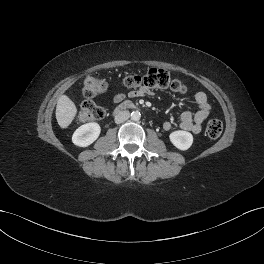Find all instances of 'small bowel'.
Returning a JSON list of instances; mask_svg holds the SVG:
<instances>
[{"mask_svg":"<svg viewBox=\"0 0 264 264\" xmlns=\"http://www.w3.org/2000/svg\"><path fill=\"white\" fill-rule=\"evenodd\" d=\"M148 94V90L145 88L135 89L129 92L130 97H140ZM194 99L198 104L199 110L196 113H192L191 111H185L182 113L179 126L181 129L188 131L194 135H197L202 130V125L204 121L210 114L211 104L206 96V94L202 91L194 92ZM125 98L123 93H118L113 98L114 104H119ZM172 128V123L170 121H166L163 123V129L168 131Z\"/></svg>","mask_w":264,"mask_h":264,"instance_id":"1","label":"small bowel"}]
</instances>
